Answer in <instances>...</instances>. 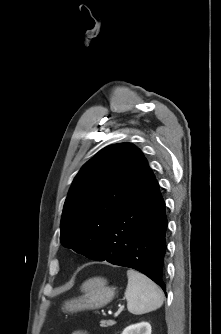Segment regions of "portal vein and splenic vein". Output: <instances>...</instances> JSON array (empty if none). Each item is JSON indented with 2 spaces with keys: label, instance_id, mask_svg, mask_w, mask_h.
<instances>
[{
  "label": "portal vein and splenic vein",
  "instance_id": "1",
  "mask_svg": "<svg viewBox=\"0 0 221 334\" xmlns=\"http://www.w3.org/2000/svg\"><path fill=\"white\" fill-rule=\"evenodd\" d=\"M123 310V307L122 306H120V308L118 309V311L114 314L115 316H118L119 315V313L121 312Z\"/></svg>",
  "mask_w": 221,
  "mask_h": 334
}]
</instances>
